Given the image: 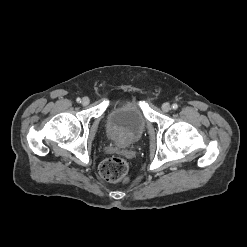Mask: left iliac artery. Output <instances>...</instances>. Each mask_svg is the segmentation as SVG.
I'll return each mask as SVG.
<instances>
[{"label":"left iliac artery","mask_w":247,"mask_h":247,"mask_svg":"<svg viewBox=\"0 0 247 247\" xmlns=\"http://www.w3.org/2000/svg\"><path fill=\"white\" fill-rule=\"evenodd\" d=\"M172 108H173L174 110H176V109L178 108V105H177V104H173V105H172Z\"/></svg>","instance_id":"1"}]
</instances>
